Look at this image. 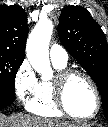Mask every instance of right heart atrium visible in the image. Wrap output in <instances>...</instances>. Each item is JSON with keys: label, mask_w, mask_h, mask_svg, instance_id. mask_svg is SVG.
I'll use <instances>...</instances> for the list:
<instances>
[{"label": "right heart atrium", "mask_w": 108, "mask_h": 127, "mask_svg": "<svg viewBox=\"0 0 108 127\" xmlns=\"http://www.w3.org/2000/svg\"><path fill=\"white\" fill-rule=\"evenodd\" d=\"M38 88L39 80L35 71L27 60L23 61L14 76V89L18 100L28 105Z\"/></svg>", "instance_id": "right-heart-atrium-1"}]
</instances>
